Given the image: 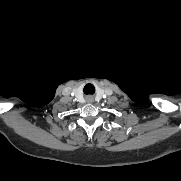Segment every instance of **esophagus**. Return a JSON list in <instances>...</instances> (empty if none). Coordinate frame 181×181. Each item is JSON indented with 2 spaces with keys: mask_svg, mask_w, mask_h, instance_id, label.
Segmentation results:
<instances>
[{
  "mask_svg": "<svg viewBox=\"0 0 181 181\" xmlns=\"http://www.w3.org/2000/svg\"><path fill=\"white\" fill-rule=\"evenodd\" d=\"M88 100H89V101H91V100H92V98H91V97H89V98H88Z\"/></svg>",
  "mask_w": 181,
  "mask_h": 181,
  "instance_id": "1",
  "label": "esophagus"
}]
</instances>
